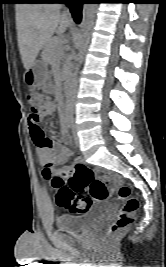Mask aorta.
Returning <instances> with one entry per match:
<instances>
[{
  "label": "aorta",
  "instance_id": "aorta-1",
  "mask_svg": "<svg viewBox=\"0 0 166 267\" xmlns=\"http://www.w3.org/2000/svg\"><path fill=\"white\" fill-rule=\"evenodd\" d=\"M96 10H97V3H84L83 5L82 21L79 30L81 49L76 56L74 72L72 73L68 84L67 106L69 108L73 107V101L75 98V92L77 86V75L82 62V53L90 39L91 30L94 26Z\"/></svg>",
  "mask_w": 166,
  "mask_h": 267
}]
</instances>
